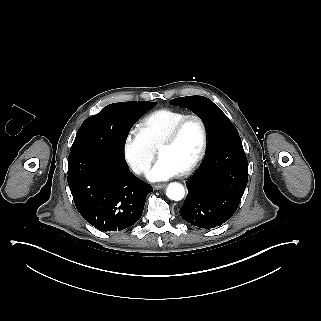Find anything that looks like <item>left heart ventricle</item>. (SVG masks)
Returning a JSON list of instances; mask_svg holds the SVG:
<instances>
[{
  "label": "left heart ventricle",
  "instance_id": "left-heart-ventricle-1",
  "mask_svg": "<svg viewBox=\"0 0 321 321\" xmlns=\"http://www.w3.org/2000/svg\"><path fill=\"white\" fill-rule=\"evenodd\" d=\"M202 140L197 120L187 121L173 142L160 143V155L171 157L181 171L186 169L199 152Z\"/></svg>",
  "mask_w": 321,
  "mask_h": 321
}]
</instances>
